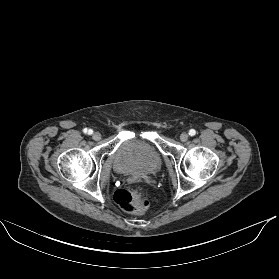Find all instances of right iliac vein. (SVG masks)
Instances as JSON below:
<instances>
[{"label": "right iliac vein", "instance_id": "obj_1", "mask_svg": "<svg viewBox=\"0 0 279 279\" xmlns=\"http://www.w3.org/2000/svg\"><path fill=\"white\" fill-rule=\"evenodd\" d=\"M92 138H93L95 141H98V140L101 139V134H100L99 132H95V133H93Z\"/></svg>", "mask_w": 279, "mask_h": 279}]
</instances>
